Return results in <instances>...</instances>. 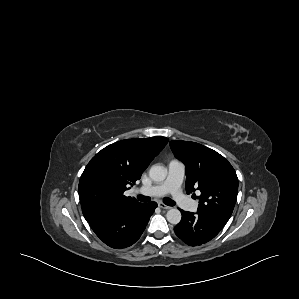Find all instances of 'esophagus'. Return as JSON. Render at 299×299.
Wrapping results in <instances>:
<instances>
[{"label":"esophagus","instance_id":"34e87169","mask_svg":"<svg viewBox=\"0 0 299 299\" xmlns=\"http://www.w3.org/2000/svg\"><path fill=\"white\" fill-rule=\"evenodd\" d=\"M158 206H159L160 208H162V209H165V210H168V209L171 208L170 206L165 205L164 203H159Z\"/></svg>","mask_w":299,"mask_h":299}]
</instances>
